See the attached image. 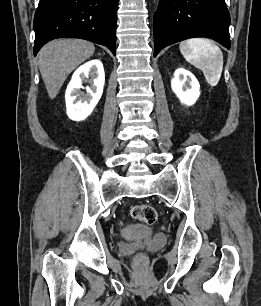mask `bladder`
<instances>
[{
  "label": "bladder",
  "instance_id": "31cf9c89",
  "mask_svg": "<svg viewBox=\"0 0 261 306\" xmlns=\"http://www.w3.org/2000/svg\"><path fill=\"white\" fill-rule=\"evenodd\" d=\"M151 234V229L145 225H129L122 230L124 239H137Z\"/></svg>",
  "mask_w": 261,
  "mask_h": 306
}]
</instances>
